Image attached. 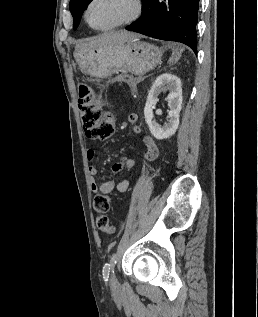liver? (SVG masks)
<instances>
[{"mask_svg":"<svg viewBox=\"0 0 258 317\" xmlns=\"http://www.w3.org/2000/svg\"><path fill=\"white\" fill-rule=\"evenodd\" d=\"M136 32H127V30H118V32H103L98 36L92 38H83V40H76L75 50L81 48H98V46H106V44H123L129 42L133 38H137ZM86 40V42H84Z\"/></svg>","mask_w":258,"mask_h":317,"instance_id":"obj_1","label":"liver"}]
</instances>
